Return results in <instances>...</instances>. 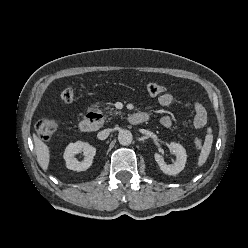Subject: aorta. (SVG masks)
I'll return each instance as SVG.
<instances>
[{"label":"aorta","instance_id":"obj_1","mask_svg":"<svg viewBox=\"0 0 248 248\" xmlns=\"http://www.w3.org/2000/svg\"><path fill=\"white\" fill-rule=\"evenodd\" d=\"M133 140V135L129 130H120L118 134V141L121 145H130Z\"/></svg>","mask_w":248,"mask_h":248}]
</instances>
